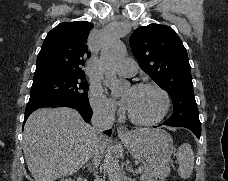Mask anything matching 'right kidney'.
I'll use <instances>...</instances> for the list:
<instances>
[{
    "mask_svg": "<svg viewBox=\"0 0 228 181\" xmlns=\"http://www.w3.org/2000/svg\"><path fill=\"white\" fill-rule=\"evenodd\" d=\"M63 181H71V179H63ZM77 181H84V179H77Z\"/></svg>",
    "mask_w": 228,
    "mask_h": 181,
    "instance_id": "1",
    "label": "right kidney"
}]
</instances>
